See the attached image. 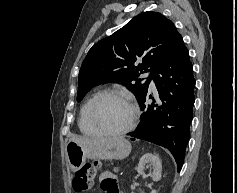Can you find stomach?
I'll return each mask as SVG.
<instances>
[{
    "mask_svg": "<svg viewBox=\"0 0 237 193\" xmlns=\"http://www.w3.org/2000/svg\"><path fill=\"white\" fill-rule=\"evenodd\" d=\"M132 146L124 137H113L98 144L82 145L69 141L66 156L72 171H78L86 159L121 160L131 152Z\"/></svg>",
    "mask_w": 237,
    "mask_h": 193,
    "instance_id": "stomach-1",
    "label": "stomach"
}]
</instances>
